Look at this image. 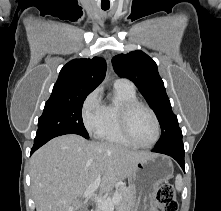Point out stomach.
Wrapping results in <instances>:
<instances>
[{"mask_svg": "<svg viewBox=\"0 0 221 211\" xmlns=\"http://www.w3.org/2000/svg\"><path fill=\"white\" fill-rule=\"evenodd\" d=\"M172 175V162L165 156L151 154L138 161L129 176L134 195L132 211H145L148 200L159 185L167 182Z\"/></svg>", "mask_w": 221, "mask_h": 211, "instance_id": "0dacf381", "label": "stomach"}]
</instances>
